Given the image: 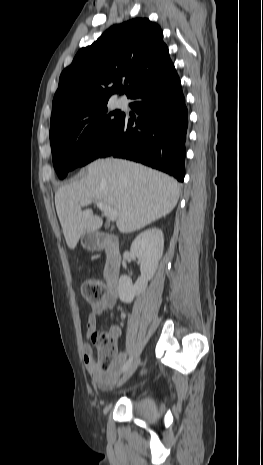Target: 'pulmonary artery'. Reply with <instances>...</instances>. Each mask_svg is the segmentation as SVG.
Returning <instances> with one entry per match:
<instances>
[{
  "mask_svg": "<svg viewBox=\"0 0 263 465\" xmlns=\"http://www.w3.org/2000/svg\"><path fill=\"white\" fill-rule=\"evenodd\" d=\"M116 105L119 106V107L123 106L124 102L122 100H117Z\"/></svg>",
  "mask_w": 263,
  "mask_h": 465,
  "instance_id": "pulmonary-artery-1",
  "label": "pulmonary artery"
}]
</instances>
